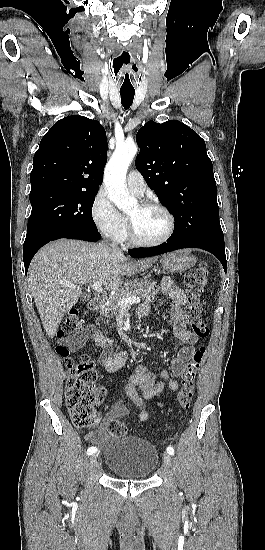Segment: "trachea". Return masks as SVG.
Here are the masks:
<instances>
[{
    "mask_svg": "<svg viewBox=\"0 0 265 550\" xmlns=\"http://www.w3.org/2000/svg\"><path fill=\"white\" fill-rule=\"evenodd\" d=\"M121 102L125 109H129V107L133 103L135 92L132 91H121Z\"/></svg>",
    "mask_w": 265,
    "mask_h": 550,
    "instance_id": "3493384b",
    "label": "trachea"
}]
</instances>
